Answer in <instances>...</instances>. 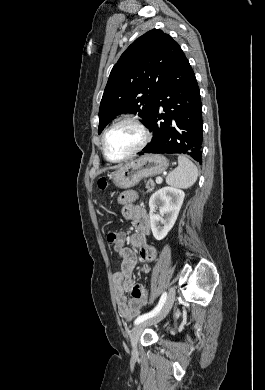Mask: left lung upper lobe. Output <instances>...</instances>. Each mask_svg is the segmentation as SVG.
Wrapping results in <instances>:
<instances>
[{"label":"left lung upper lobe","mask_w":265,"mask_h":390,"mask_svg":"<svg viewBox=\"0 0 265 390\" xmlns=\"http://www.w3.org/2000/svg\"><path fill=\"white\" fill-rule=\"evenodd\" d=\"M183 51L173 38L153 29L137 38L111 70L99 108L100 134L122 113H138L147 127L157 92Z\"/></svg>","instance_id":"left-lung-upper-lobe-1"}]
</instances>
